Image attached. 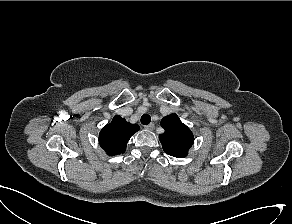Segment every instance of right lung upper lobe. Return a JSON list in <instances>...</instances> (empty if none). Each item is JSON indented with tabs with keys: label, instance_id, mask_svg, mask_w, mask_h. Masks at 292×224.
<instances>
[{
	"label": "right lung upper lobe",
	"instance_id": "cb5924a9",
	"mask_svg": "<svg viewBox=\"0 0 292 224\" xmlns=\"http://www.w3.org/2000/svg\"><path fill=\"white\" fill-rule=\"evenodd\" d=\"M138 130V125L126 122L124 118L116 115L99 133V144L110 156L122 154L130 137Z\"/></svg>",
	"mask_w": 292,
	"mask_h": 224
}]
</instances>
